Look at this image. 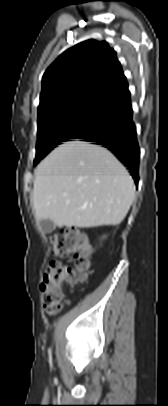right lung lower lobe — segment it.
<instances>
[{"mask_svg": "<svg viewBox=\"0 0 168 406\" xmlns=\"http://www.w3.org/2000/svg\"><path fill=\"white\" fill-rule=\"evenodd\" d=\"M109 117L79 139L93 142L110 150L128 169L136 185L139 181V146L132 120L130 92L107 102Z\"/></svg>", "mask_w": 168, "mask_h": 406, "instance_id": "98d812e1", "label": "right lung lower lobe"}]
</instances>
